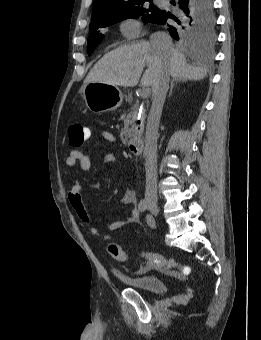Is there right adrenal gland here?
<instances>
[{"label": "right adrenal gland", "instance_id": "2a0ac1e0", "mask_svg": "<svg viewBox=\"0 0 261 340\" xmlns=\"http://www.w3.org/2000/svg\"><path fill=\"white\" fill-rule=\"evenodd\" d=\"M176 84H177V82H175V81L171 82L170 91H169V97L172 95L173 89H174Z\"/></svg>", "mask_w": 261, "mask_h": 340}]
</instances>
